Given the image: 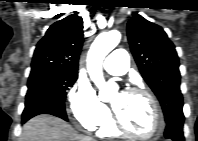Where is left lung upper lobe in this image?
<instances>
[{
	"label": "left lung upper lobe",
	"mask_w": 198,
	"mask_h": 141,
	"mask_svg": "<svg viewBox=\"0 0 198 141\" xmlns=\"http://www.w3.org/2000/svg\"><path fill=\"white\" fill-rule=\"evenodd\" d=\"M127 36L142 77L161 103L166 124L176 117L184 119L179 60L167 34L135 14L128 22Z\"/></svg>",
	"instance_id": "obj_1"
}]
</instances>
